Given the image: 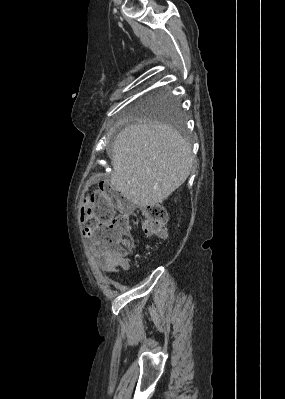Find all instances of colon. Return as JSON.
<instances>
[{
  "instance_id": "5ec220e1",
  "label": "colon",
  "mask_w": 285,
  "mask_h": 399,
  "mask_svg": "<svg viewBox=\"0 0 285 399\" xmlns=\"http://www.w3.org/2000/svg\"><path fill=\"white\" fill-rule=\"evenodd\" d=\"M123 206L122 198L110 184L102 182L90 194L84 196L81 217L94 221L93 241L102 252L115 262H123L133 248L131 219L137 216L145 230L156 235L167 233V214L164 207L151 205L137 208L132 213L115 215L114 210Z\"/></svg>"
}]
</instances>
